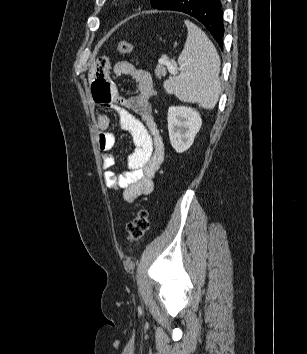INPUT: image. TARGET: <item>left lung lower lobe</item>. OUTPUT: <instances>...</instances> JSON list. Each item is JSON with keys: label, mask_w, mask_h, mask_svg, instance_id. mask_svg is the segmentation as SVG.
I'll return each instance as SVG.
<instances>
[{"label": "left lung lower lobe", "mask_w": 307, "mask_h": 354, "mask_svg": "<svg viewBox=\"0 0 307 354\" xmlns=\"http://www.w3.org/2000/svg\"><path fill=\"white\" fill-rule=\"evenodd\" d=\"M159 10L180 11L196 18L222 48L224 25L221 0H170Z\"/></svg>", "instance_id": "left-lung-lower-lobe-1"}]
</instances>
